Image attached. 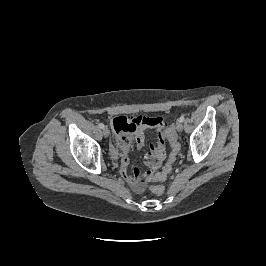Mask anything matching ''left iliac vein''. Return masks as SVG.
I'll list each match as a JSON object with an SVG mask.
<instances>
[{
  "label": "left iliac vein",
  "mask_w": 266,
  "mask_h": 266,
  "mask_svg": "<svg viewBox=\"0 0 266 266\" xmlns=\"http://www.w3.org/2000/svg\"><path fill=\"white\" fill-rule=\"evenodd\" d=\"M176 130H177L178 132H181V131L183 130V124H182V122L178 121V122L176 123Z\"/></svg>",
  "instance_id": "left-iliac-vein-1"
}]
</instances>
